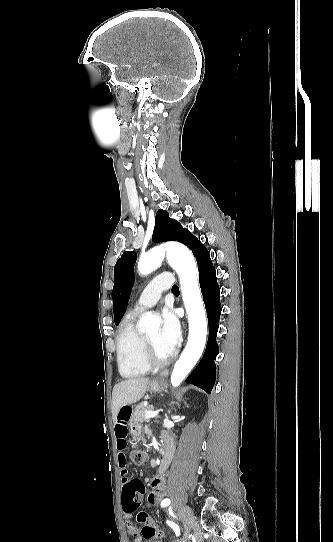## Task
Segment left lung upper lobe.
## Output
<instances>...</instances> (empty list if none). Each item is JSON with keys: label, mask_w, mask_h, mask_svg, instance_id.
<instances>
[{"label": "left lung upper lobe", "mask_w": 333, "mask_h": 542, "mask_svg": "<svg viewBox=\"0 0 333 542\" xmlns=\"http://www.w3.org/2000/svg\"><path fill=\"white\" fill-rule=\"evenodd\" d=\"M152 240L154 242L179 241L187 245L194 255L202 245L187 229H183L178 221L169 218L168 212L161 209L156 214ZM136 259L135 252H124L114 267L113 312L116 325L123 317L130 298Z\"/></svg>", "instance_id": "1"}]
</instances>
